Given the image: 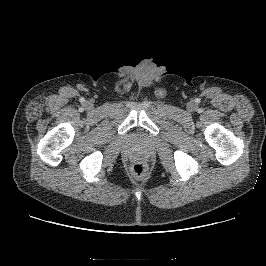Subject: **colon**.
Masks as SVG:
<instances>
[{
  "mask_svg": "<svg viewBox=\"0 0 266 266\" xmlns=\"http://www.w3.org/2000/svg\"><path fill=\"white\" fill-rule=\"evenodd\" d=\"M131 174L137 179H142L147 175V165L142 161H136L131 166Z\"/></svg>",
  "mask_w": 266,
  "mask_h": 266,
  "instance_id": "1",
  "label": "colon"
}]
</instances>
